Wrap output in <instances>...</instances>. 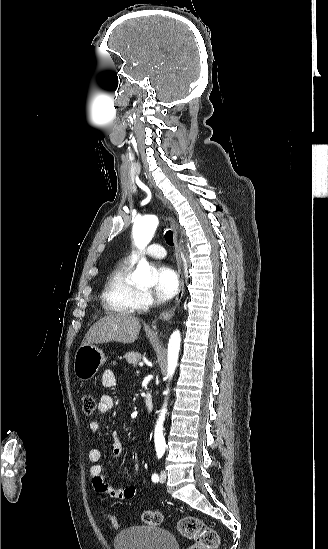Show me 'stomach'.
<instances>
[{
  "mask_svg": "<svg viewBox=\"0 0 328 549\" xmlns=\"http://www.w3.org/2000/svg\"><path fill=\"white\" fill-rule=\"evenodd\" d=\"M106 363L105 355L95 345H82L76 351L74 373L79 381H90Z\"/></svg>",
  "mask_w": 328,
  "mask_h": 549,
  "instance_id": "stomach-1",
  "label": "stomach"
}]
</instances>
